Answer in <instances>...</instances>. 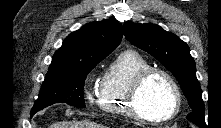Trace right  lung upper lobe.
Here are the masks:
<instances>
[{
	"instance_id": "right-lung-upper-lobe-1",
	"label": "right lung upper lobe",
	"mask_w": 221,
	"mask_h": 128,
	"mask_svg": "<svg viewBox=\"0 0 221 128\" xmlns=\"http://www.w3.org/2000/svg\"><path fill=\"white\" fill-rule=\"evenodd\" d=\"M122 37V26L114 20L86 24L66 37L48 71L104 59L120 44Z\"/></svg>"
}]
</instances>
